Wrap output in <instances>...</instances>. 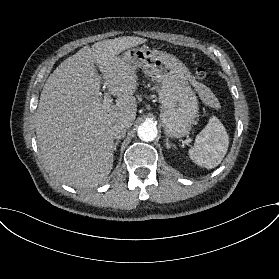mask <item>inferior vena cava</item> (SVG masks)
<instances>
[{
    "label": "inferior vena cava",
    "instance_id": "obj_1",
    "mask_svg": "<svg viewBox=\"0 0 279 279\" xmlns=\"http://www.w3.org/2000/svg\"><path fill=\"white\" fill-rule=\"evenodd\" d=\"M128 127L125 124H116L111 128L113 139H121L126 135Z\"/></svg>",
    "mask_w": 279,
    "mask_h": 279
}]
</instances>
